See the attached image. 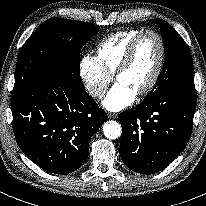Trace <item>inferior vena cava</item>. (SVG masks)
I'll use <instances>...</instances> for the list:
<instances>
[{"label": "inferior vena cava", "instance_id": "obj_1", "mask_svg": "<svg viewBox=\"0 0 206 206\" xmlns=\"http://www.w3.org/2000/svg\"><path fill=\"white\" fill-rule=\"evenodd\" d=\"M89 93L91 96L93 97H98V98H102L105 95V90L102 88H91L89 90Z\"/></svg>", "mask_w": 206, "mask_h": 206}]
</instances>
